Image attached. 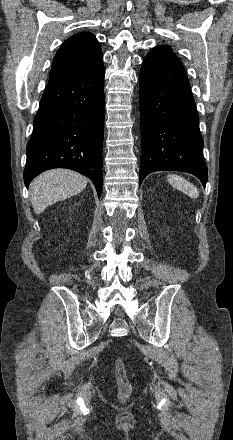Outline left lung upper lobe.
<instances>
[{"label":"left lung upper lobe","instance_id":"5c2ea615","mask_svg":"<svg viewBox=\"0 0 233 440\" xmlns=\"http://www.w3.org/2000/svg\"><path fill=\"white\" fill-rule=\"evenodd\" d=\"M152 52H165V53H169V54H172V55H175L171 50H170V48L169 47H162V46H157V47H155L153 50H152Z\"/></svg>","mask_w":233,"mask_h":440}]
</instances>
